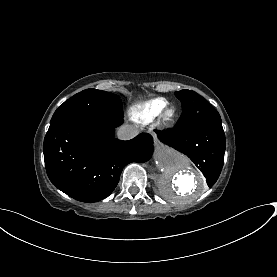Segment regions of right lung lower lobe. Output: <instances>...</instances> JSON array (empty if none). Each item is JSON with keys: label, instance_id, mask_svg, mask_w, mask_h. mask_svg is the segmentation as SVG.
Returning <instances> with one entry per match:
<instances>
[{"label": "right lung lower lobe", "instance_id": "obj_1", "mask_svg": "<svg viewBox=\"0 0 277 277\" xmlns=\"http://www.w3.org/2000/svg\"><path fill=\"white\" fill-rule=\"evenodd\" d=\"M120 117H96L68 122L47 132L44 161L50 181L82 202L109 196L122 169L131 162H146L153 152L152 137L142 133L129 141L114 137Z\"/></svg>", "mask_w": 277, "mask_h": 277}]
</instances>
